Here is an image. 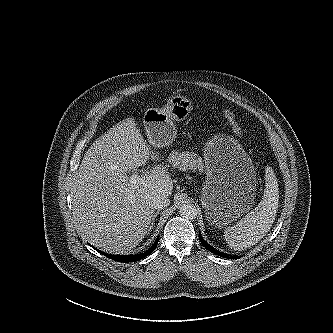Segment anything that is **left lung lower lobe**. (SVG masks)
<instances>
[{
    "instance_id": "left-lung-lower-lobe-1",
    "label": "left lung lower lobe",
    "mask_w": 333,
    "mask_h": 333,
    "mask_svg": "<svg viewBox=\"0 0 333 333\" xmlns=\"http://www.w3.org/2000/svg\"><path fill=\"white\" fill-rule=\"evenodd\" d=\"M199 239L201 241V243L203 244V246L208 249L210 252L216 254V255H219L221 257H224V258H229V259H236L238 258L239 256H235V255H229V254H226V253H223V252H220L218 250H216L215 248H213L212 246H210L204 239L203 237L201 236V233L199 234Z\"/></svg>"
}]
</instances>
